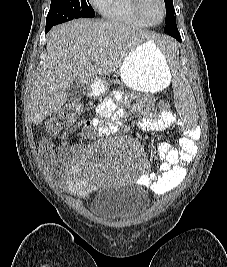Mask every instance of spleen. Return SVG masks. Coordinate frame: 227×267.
I'll use <instances>...</instances> for the list:
<instances>
[{
	"label": "spleen",
	"instance_id": "spleen-1",
	"mask_svg": "<svg viewBox=\"0 0 227 267\" xmlns=\"http://www.w3.org/2000/svg\"><path fill=\"white\" fill-rule=\"evenodd\" d=\"M154 47H162V55H171V59H178L181 47L174 41V36H152ZM173 72L172 81H191V76H186V67L184 63H177V67H171ZM175 93L173 98H187V100H173V105H194V93H190L192 82H171ZM177 115H198L197 106H175ZM181 125L185 129H200L198 124L199 116H180Z\"/></svg>",
	"mask_w": 227,
	"mask_h": 267
}]
</instances>
